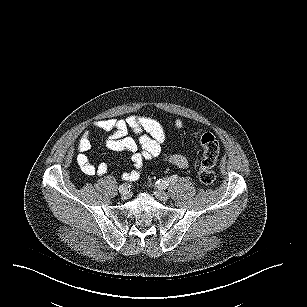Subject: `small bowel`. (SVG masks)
I'll return each instance as SVG.
<instances>
[{"label":"small bowel","mask_w":307,"mask_h":307,"mask_svg":"<svg viewBox=\"0 0 307 307\" xmlns=\"http://www.w3.org/2000/svg\"><path fill=\"white\" fill-rule=\"evenodd\" d=\"M172 125L180 129L183 127V122L178 119ZM95 130L109 132L106 140L108 149L127 152L130 155L134 169L122 174L124 181L138 180L143 164L162 155L161 147L165 141V132L162 125L155 119L139 115H131L125 119H101L95 121L92 127L83 133L77 145V163L86 175L104 176L108 172L106 163L95 165L88 155L92 147V132ZM129 131L139 135V139L130 137ZM163 157L164 160L179 168H186L189 165V159L185 153L166 154Z\"/></svg>","instance_id":"small-bowel-1"}]
</instances>
